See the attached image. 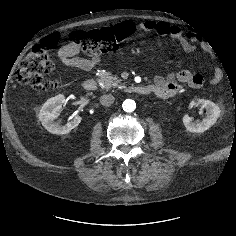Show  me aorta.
Returning <instances> with one entry per match:
<instances>
[{
  "mask_svg": "<svg viewBox=\"0 0 236 236\" xmlns=\"http://www.w3.org/2000/svg\"><path fill=\"white\" fill-rule=\"evenodd\" d=\"M123 110L125 112L131 113L135 110L136 108V103L132 99H126L123 104H122Z\"/></svg>",
  "mask_w": 236,
  "mask_h": 236,
  "instance_id": "1",
  "label": "aorta"
}]
</instances>
